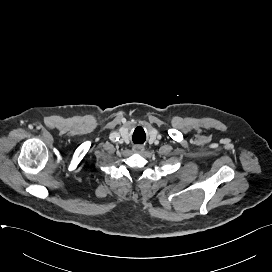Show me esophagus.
<instances>
[{"mask_svg": "<svg viewBox=\"0 0 272 272\" xmlns=\"http://www.w3.org/2000/svg\"><path fill=\"white\" fill-rule=\"evenodd\" d=\"M133 151L135 153H141L144 151V147L142 145H135L133 146Z\"/></svg>", "mask_w": 272, "mask_h": 272, "instance_id": "34e87169", "label": "esophagus"}]
</instances>
